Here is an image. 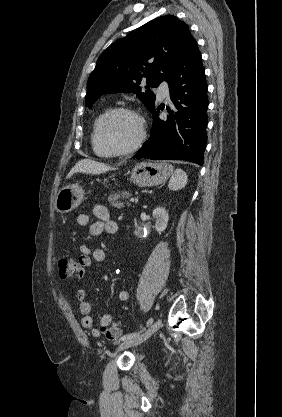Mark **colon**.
I'll return each instance as SVG.
<instances>
[{
  "instance_id": "colon-1",
  "label": "colon",
  "mask_w": 282,
  "mask_h": 417,
  "mask_svg": "<svg viewBox=\"0 0 282 417\" xmlns=\"http://www.w3.org/2000/svg\"><path fill=\"white\" fill-rule=\"evenodd\" d=\"M60 276L63 278L73 277L81 275L84 271V266H74V258L62 257L59 261ZM106 338L110 343H113L116 339L123 338V331L120 330L119 323H112L106 331Z\"/></svg>"
}]
</instances>
